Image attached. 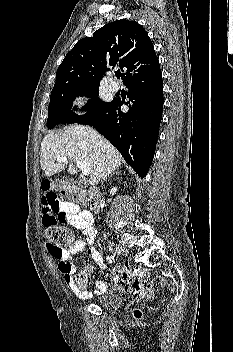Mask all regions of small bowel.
Masks as SVG:
<instances>
[{
	"label": "small bowel",
	"mask_w": 233,
	"mask_h": 352,
	"mask_svg": "<svg viewBox=\"0 0 233 352\" xmlns=\"http://www.w3.org/2000/svg\"><path fill=\"white\" fill-rule=\"evenodd\" d=\"M41 210L43 224L45 222H59L70 225L80 230L85 239L76 241L66 249H60L47 243L49 254L58 261V269L63 274L64 280L72 293L81 300L90 299L94 294H101L107 288L105 282L97 280L94 292L80 290L74 279L76 265L72 256L86 249L88 256L97 266V273H101L105 267L102 255L94 247L97 232L93 226V217L87 210H81L78 205L70 201L59 199L58 191L61 190V182L46 180L41 186Z\"/></svg>",
	"instance_id": "obj_1"
}]
</instances>
